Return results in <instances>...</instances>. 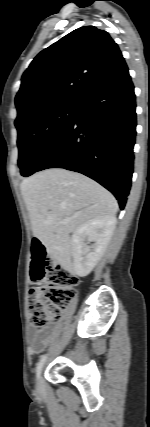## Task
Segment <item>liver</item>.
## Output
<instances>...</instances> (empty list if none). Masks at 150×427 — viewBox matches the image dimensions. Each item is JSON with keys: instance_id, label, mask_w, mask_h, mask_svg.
<instances>
[{"instance_id": "liver-1", "label": "liver", "mask_w": 150, "mask_h": 427, "mask_svg": "<svg viewBox=\"0 0 150 427\" xmlns=\"http://www.w3.org/2000/svg\"><path fill=\"white\" fill-rule=\"evenodd\" d=\"M21 192L33 235L66 268H71L69 234L90 220L115 216L118 211L109 191L82 174L62 168L46 169L24 179ZM48 219L51 224L45 223Z\"/></svg>"}]
</instances>
